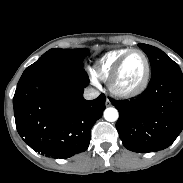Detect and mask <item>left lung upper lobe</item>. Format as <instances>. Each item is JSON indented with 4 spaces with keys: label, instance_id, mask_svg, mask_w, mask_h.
I'll return each instance as SVG.
<instances>
[{
    "label": "left lung upper lobe",
    "instance_id": "obj_1",
    "mask_svg": "<svg viewBox=\"0 0 183 183\" xmlns=\"http://www.w3.org/2000/svg\"><path fill=\"white\" fill-rule=\"evenodd\" d=\"M138 46L146 53L151 64V76L163 71L179 67L162 50L147 44L140 43Z\"/></svg>",
    "mask_w": 183,
    "mask_h": 183
}]
</instances>
